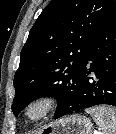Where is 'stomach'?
<instances>
[{"instance_id": "stomach-1", "label": "stomach", "mask_w": 116, "mask_h": 134, "mask_svg": "<svg viewBox=\"0 0 116 134\" xmlns=\"http://www.w3.org/2000/svg\"><path fill=\"white\" fill-rule=\"evenodd\" d=\"M91 121L81 115H71L46 125L38 134H91Z\"/></svg>"}]
</instances>
